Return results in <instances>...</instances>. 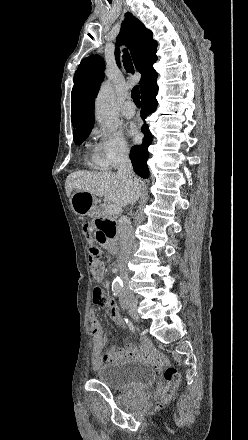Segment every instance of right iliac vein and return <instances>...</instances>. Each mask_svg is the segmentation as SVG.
<instances>
[{"mask_svg": "<svg viewBox=\"0 0 248 440\" xmlns=\"http://www.w3.org/2000/svg\"><path fill=\"white\" fill-rule=\"evenodd\" d=\"M124 304L125 306L130 310V312L132 313V315L137 318V313H136V307H137V302L136 299L134 297H127L124 299Z\"/></svg>", "mask_w": 248, "mask_h": 440, "instance_id": "1", "label": "right iliac vein"}]
</instances>
